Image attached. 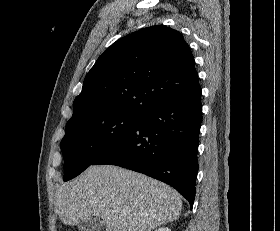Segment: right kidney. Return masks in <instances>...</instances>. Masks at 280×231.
<instances>
[{"label":"right kidney","instance_id":"right-kidney-1","mask_svg":"<svg viewBox=\"0 0 280 231\" xmlns=\"http://www.w3.org/2000/svg\"><path fill=\"white\" fill-rule=\"evenodd\" d=\"M154 231H171L169 227H158V229H154Z\"/></svg>","mask_w":280,"mask_h":231}]
</instances>
